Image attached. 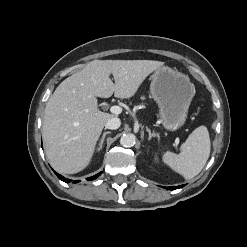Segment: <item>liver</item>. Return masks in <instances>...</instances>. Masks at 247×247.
<instances>
[{
  "mask_svg": "<svg viewBox=\"0 0 247 247\" xmlns=\"http://www.w3.org/2000/svg\"><path fill=\"white\" fill-rule=\"evenodd\" d=\"M163 65L153 60H94L62 81L45 107L42 135L50 165L65 174L85 169L103 127L114 117L99 111L97 97L114 93L117 98H130Z\"/></svg>",
  "mask_w": 247,
  "mask_h": 247,
  "instance_id": "6515ba94",
  "label": "liver"
}]
</instances>
